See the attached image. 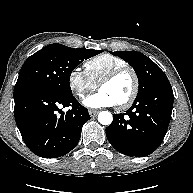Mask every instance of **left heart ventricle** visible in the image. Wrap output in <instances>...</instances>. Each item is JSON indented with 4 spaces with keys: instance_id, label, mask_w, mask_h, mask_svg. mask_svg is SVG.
<instances>
[{
    "instance_id": "obj_1",
    "label": "left heart ventricle",
    "mask_w": 193,
    "mask_h": 193,
    "mask_svg": "<svg viewBox=\"0 0 193 193\" xmlns=\"http://www.w3.org/2000/svg\"><path fill=\"white\" fill-rule=\"evenodd\" d=\"M133 85L132 75L126 72L113 81L103 85L100 90L106 92L117 105L128 99L133 90Z\"/></svg>"
}]
</instances>
